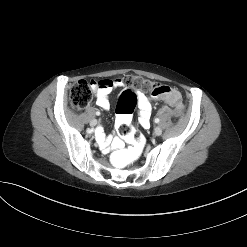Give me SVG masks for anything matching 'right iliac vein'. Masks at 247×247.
Returning a JSON list of instances; mask_svg holds the SVG:
<instances>
[{"label":"right iliac vein","mask_w":247,"mask_h":247,"mask_svg":"<svg viewBox=\"0 0 247 247\" xmlns=\"http://www.w3.org/2000/svg\"><path fill=\"white\" fill-rule=\"evenodd\" d=\"M90 125H91L92 127L96 126V125H97V120H96V119H92V120L90 121Z\"/></svg>","instance_id":"obj_1"}]
</instances>
